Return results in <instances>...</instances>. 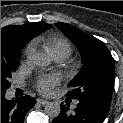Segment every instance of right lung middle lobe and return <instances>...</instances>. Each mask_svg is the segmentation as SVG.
Instances as JSON below:
<instances>
[{
  "instance_id": "1",
  "label": "right lung middle lobe",
  "mask_w": 123,
  "mask_h": 123,
  "mask_svg": "<svg viewBox=\"0 0 123 123\" xmlns=\"http://www.w3.org/2000/svg\"><path fill=\"white\" fill-rule=\"evenodd\" d=\"M19 58L3 59L1 58V94L6 93V89L11 86L9 78L11 74L17 70Z\"/></svg>"
}]
</instances>
